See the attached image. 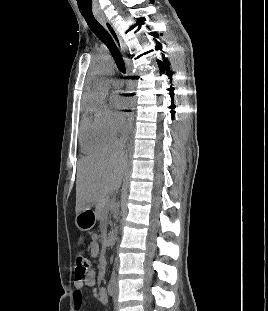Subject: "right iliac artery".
<instances>
[{"label":"right iliac artery","instance_id":"obj_1","mask_svg":"<svg viewBox=\"0 0 268 311\" xmlns=\"http://www.w3.org/2000/svg\"><path fill=\"white\" fill-rule=\"evenodd\" d=\"M114 289H115V284H114V280H110L109 283H108V287H107V290H108V294L110 296H113L114 295Z\"/></svg>","mask_w":268,"mask_h":311}]
</instances>
